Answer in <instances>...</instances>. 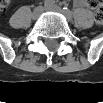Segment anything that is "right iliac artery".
<instances>
[{"label":"right iliac artery","mask_w":103,"mask_h":103,"mask_svg":"<svg viewBox=\"0 0 103 103\" xmlns=\"http://www.w3.org/2000/svg\"><path fill=\"white\" fill-rule=\"evenodd\" d=\"M54 3H55V1H53V0H46V1H44V5H45L46 7H48V6H53Z\"/></svg>","instance_id":"obj_1"}]
</instances>
